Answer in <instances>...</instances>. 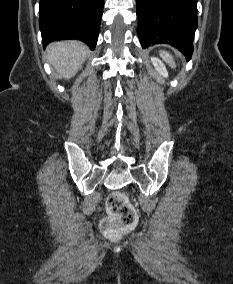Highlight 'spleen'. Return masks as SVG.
Returning a JSON list of instances; mask_svg holds the SVG:
<instances>
[{"instance_id":"1","label":"spleen","mask_w":233,"mask_h":284,"mask_svg":"<svg viewBox=\"0 0 233 284\" xmlns=\"http://www.w3.org/2000/svg\"><path fill=\"white\" fill-rule=\"evenodd\" d=\"M160 55L162 57H164L165 59H167L168 61H171V56L169 55V53L165 52V51H161Z\"/></svg>"}]
</instances>
